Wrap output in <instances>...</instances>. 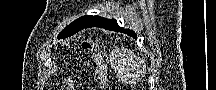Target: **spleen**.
<instances>
[{
	"mask_svg": "<svg viewBox=\"0 0 216 90\" xmlns=\"http://www.w3.org/2000/svg\"><path fill=\"white\" fill-rule=\"evenodd\" d=\"M127 60H131V62H134L135 66H140L142 64V60L138 58V56H133L132 52H126ZM132 56V58H130Z\"/></svg>",
	"mask_w": 216,
	"mask_h": 90,
	"instance_id": "obj_1",
	"label": "spleen"
}]
</instances>
